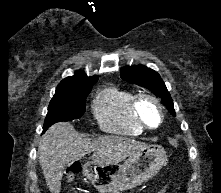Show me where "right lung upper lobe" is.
Instances as JSON below:
<instances>
[{"label":"right lung upper lobe","instance_id":"cb5924a9","mask_svg":"<svg viewBox=\"0 0 221 193\" xmlns=\"http://www.w3.org/2000/svg\"><path fill=\"white\" fill-rule=\"evenodd\" d=\"M97 77H88L83 72H76L74 76H70L62 80L56 90H61L65 88H74V87H86L90 86L97 81Z\"/></svg>","mask_w":221,"mask_h":193}]
</instances>
